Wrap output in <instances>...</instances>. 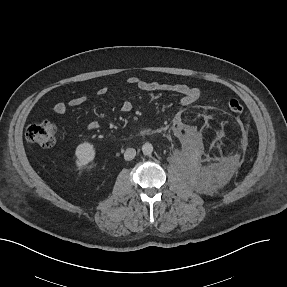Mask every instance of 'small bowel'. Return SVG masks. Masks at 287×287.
<instances>
[{
  "label": "small bowel",
  "mask_w": 287,
  "mask_h": 287,
  "mask_svg": "<svg viewBox=\"0 0 287 287\" xmlns=\"http://www.w3.org/2000/svg\"><path fill=\"white\" fill-rule=\"evenodd\" d=\"M127 82L141 91L146 92H167L174 93L181 97V103L183 105H191L198 101L201 97V91L199 88L190 86L184 83H161L157 81H150L141 79L136 76L129 77ZM100 95L107 93L106 87H101L98 90ZM87 98L85 96H77L72 98L69 102L58 101L54 105V111L58 115L66 113L68 106H79L85 103ZM133 108L132 102L126 100L121 104L122 112H130ZM101 124L97 121H90L86 125V129L90 132L100 129Z\"/></svg>",
  "instance_id": "c3829d8e"
}]
</instances>
